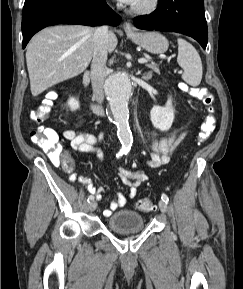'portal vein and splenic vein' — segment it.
<instances>
[{
    "label": "portal vein and splenic vein",
    "mask_w": 243,
    "mask_h": 289,
    "mask_svg": "<svg viewBox=\"0 0 243 289\" xmlns=\"http://www.w3.org/2000/svg\"><path fill=\"white\" fill-rule=\"evenodd\" d=\"M78 59H79V57H78ZM138 62H139V63H147V62H148V59L140 58V59H138Z\"/></svg>",
    "instance_id": "obj_1"
}]
</instances>
